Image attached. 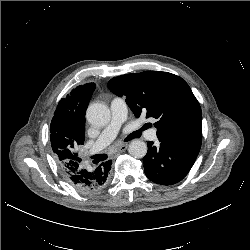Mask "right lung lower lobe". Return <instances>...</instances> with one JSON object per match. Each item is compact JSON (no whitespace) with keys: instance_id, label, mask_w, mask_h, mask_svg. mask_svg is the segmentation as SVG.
<instances>
[{"instance_id":"98d812e1","label":"right lung lower lobe","mask_w":250,"mask_h":250,"mask_svg":"<svg viewBox=\"0 0 250 250\" xmlns=\"http://www.w3.org/2000/svg\"><path fill=\"white\" fill-rule=\"evenodd\" d=\"M111 164V161H106L96 168H86L80 160L59 164V168L69 184L82 193H92L107 185Z\"/></svg>"}]
</instances>
